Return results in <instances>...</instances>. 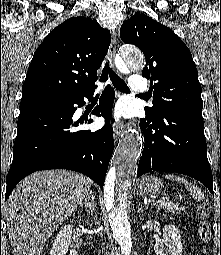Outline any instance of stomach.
I'll use <instances>...</instances> for the list:
<instances>
[{
	"mask_svg": "<svg viewBox=\"0 0 221 255\" xmlns=\"http://www.w3.org/2000/svg\"><path fill=\"white\" fill-rule=\"evenodd\" d=\"M163 183L155 176L143 177L137 183V193L140 195H155L162 191Z\"/></svg>",
	"mask_w": 221,
	"mask_h": 255,
	"instance_id": "obj_1",
	"label": "stomach"
}]
</instances>
